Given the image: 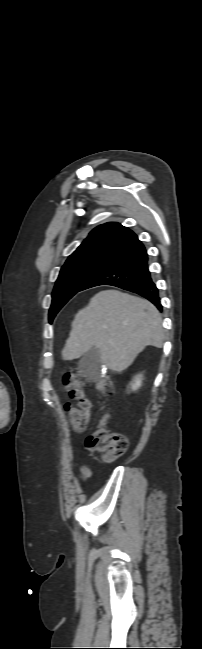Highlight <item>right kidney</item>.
<instances>
[{
    "instance_id": "1",
    "label": "right kidney",
    "mask_w": 202,
    "mask_h": 649,
    "mask_svg": "<svg viewBox=\"0 0 202 649\" xmlns=\"http://www.w3.org/2000/svg\"><path fill=\"white\" fill-rule=\"evenodd\" d=\"M141 376H136L135 382L132 384V389L136 390L141 386Z\"/></svg>"
}]
</instances>
